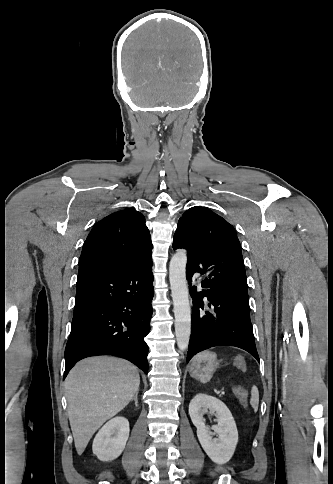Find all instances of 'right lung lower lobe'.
<instances>
[{"label": "right lung lower lobe", "instance_id": "98d812e1", "mask_svg": "<svg viewBox=\"0 0 333 484\" xmlns=\"http://www.w3.org/2000/svg\"><path fill=\"white\" fill-rule=\"evenodd\" d=\"M152 259L126 269H97L78 274L71 333L65 349L64 378L79 360L115 355L148 371Z\"/></svg>", "mask_w": 333, "mask_h": 484}]
</instances>
